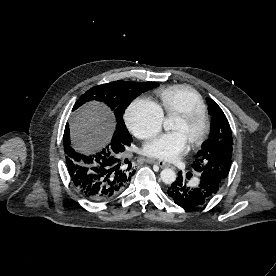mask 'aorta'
Listing matches in <instances>:
<instances>
[{
	"mask_svg": "<svg viewBox=\"0 0 276 276\" xmlns=\"http://www.w3.org/2000/svg\"><path fill=\"white\" fill-rule=\"evenodd\" d=\"M175 119L172 117L166 118L163 122V128L165 131L174 129ZM160 178L165 184H172L176 180V173L170 168H165L160 173Z\"/></svg>",
	"mask_w": 276,
	"mask_h": 276,
	"instance_id": "1",
	"label": "aorta"
}]
</instances>
